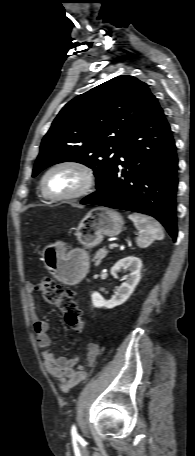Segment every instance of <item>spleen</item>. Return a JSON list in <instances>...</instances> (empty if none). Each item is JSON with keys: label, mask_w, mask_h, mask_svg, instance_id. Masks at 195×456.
<instances>
[{"label": "spleen", "mask_w": 195, "mask_h": 456, "mask_svg": "<svg viewBox=\"0 0 195 456\" xmlns=\"http://www.w3.org/2000/svg\"><path fill=\"white\" fill-rule=\"evenodd\" d=\"M128 218L133 221L139 230V236L136 239L137 245L141 248L149 246L154 240L164 238L163 229L158 221L152 217L132 213Z\"/></svg>", "instance_id": "spleen-1"}]
</instances>
